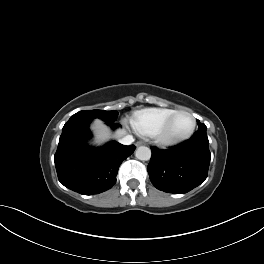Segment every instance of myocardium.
<instances>
[{
  "instance_id": "f54148a6",
  "label": "myocardium",
  "mask_w": 264,
  "mask_h": 264,
  "mask_svg": "<svg viewBox=\"0 0 264 264\" xmlns=\"http://www.w3.org/2000/svg\"><path fill=\"white\" fill-rule=\"evenodd\" d=\"M180 114H187L191 118L192 121L191 128L187 133L183 135L169 136L168 130L171 126V123L174 120V118ZM195 129H196V119L193 116V114L187 110H176L166 119V121L162 124V126L157 130V132L154 135V138L156 143L160 146L163 147L175 146L190 139L191 136L194 134Z\"/></svg>"
}]
</instances>
